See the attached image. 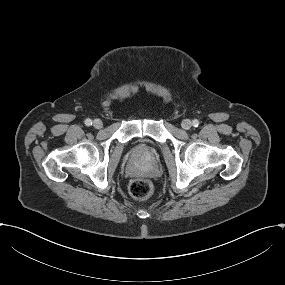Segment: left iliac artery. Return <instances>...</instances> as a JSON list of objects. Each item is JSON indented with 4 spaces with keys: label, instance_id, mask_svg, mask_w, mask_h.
<instances>
[{
    "label": "left iliac artery",
    "instance_id": "left-iliac-artery-1",
    "mask_svg": "<svg viewBox=\"0 0 285 285\" xmlns=\"http://www.w3.org/2000/svg\"><path fill=\"white\" fill-rule=\"evenodd\" d=\"M192 125L194 127H198L199 126V121L197 119L193 120Z\"/></svg>",
    "mask_w": 285,
    "mask_h": 285
}]
</instances>
